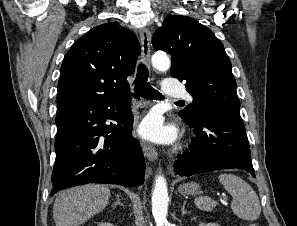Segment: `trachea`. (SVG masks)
Here are the masks:
<instances>
[{"mask_svg":"<svg viewBox=\"0 0 297 226\" xmlns=\"http://www.w3.org/2000/svg\"><path fill=\"white\" fill-rule=\"evenodd\" d=\"M147 80H148V69L144 64L141 63L138 65L137 76L134 82L135 83L134 96L136 98H139V96H142L150 100H153V99L162 100L163 99L162 94L159 93L157 90L153 89L149 85ZM179 102L181 103L183 101H179Z\"/></svg>","mask_w":297,"mask_h":226,"instance_id":"obj_1","label":"trachea"}]
</instances>
